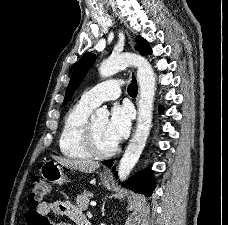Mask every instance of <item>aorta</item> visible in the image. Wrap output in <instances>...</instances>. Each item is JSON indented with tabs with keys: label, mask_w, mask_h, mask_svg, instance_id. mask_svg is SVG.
<instances>
[{
	"label": "aorta",
	"mask_w": 228,
	"mask_h": 225,
	"mask_svg": "<svg viewBox=\"0 0 228 225\" xmlns=\"http://www.w3.org/2000/svg\"><path fill=\"white\" fill-rule=\"evenodd\" d=\"M125 66H137L138 68L137 78L140 86V98L136 133L131 139L118 167L120 181L128 179L146 145L152 125L153 100L155 96L154 70L147 58L140 56V54H132V52L111 54L107 60L101 62L98 70L100 76L106 78V76L116 74L120 68H125ZM97 117L107 119L109 110L107 108H97L95 115L91 117V121H95Z\"/></svg>",
	"instance_id": "1"
}]
</instances>
